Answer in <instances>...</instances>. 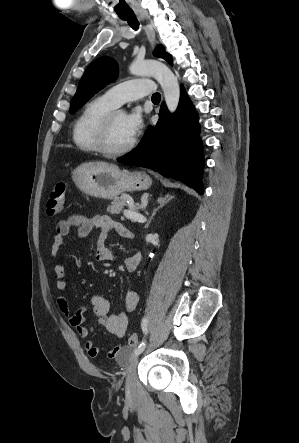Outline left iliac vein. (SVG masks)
<instances>
[{"label": "left iliac vein", "instance_id": "4c4485c4", "mask_svg": "<svg viewBox=\"0 0 299 443\" xmlns=\"http://www.w3.org/2000/svg\"><path fill=\"white\" fill-rule=\"evenodd\" d=\"M139 361V356H135L127 369V377H126V383H125V389H126V395L128 397H133L136 392V377H137V364Z\"/></svg>", "mask_w": 299, "mask_h": 443}]
</instances>
